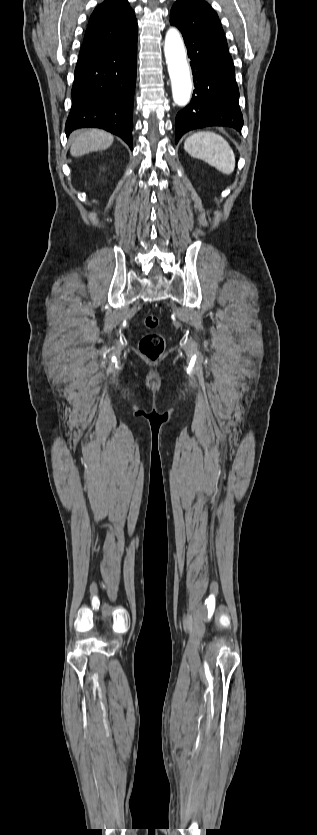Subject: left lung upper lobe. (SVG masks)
I'll return each instance as SVG.
<instances>
[{
    "label": "left lung upper lobe",
    "instance_id": "left-lung-upper-lobe-1",
    "mask_svg": "<svg viewBox=\"0 0 317 835\" xmlns=\"http://www.w3.org/2000/svg\"><path fill=\"white\" fill-rule=\"evenodd\" d=\"M181 1H189V2H191V3H193V4L197 5V6H200V7H209V8H211V6H210L207 2H205L204 0H177V1H176V3L173 5V7H172V9H171V12L178 13V15H179V16H180L181 14L178 12L177 4H178L179 2H181ZM211 9H212V8H211ZM170 14H171V13H170Z\"/></svg>",
    "mask_w": 317,
    "mask_h": 835
}]
</instances>
